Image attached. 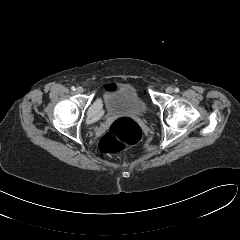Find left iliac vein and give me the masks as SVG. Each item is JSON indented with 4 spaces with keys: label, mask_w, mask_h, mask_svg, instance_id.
<instances>
[{
    "label": "left iliac vein",
    "mask_w": 240,
    "mask_h": 240,
    "mask_svg": "<svg viewBox=\"0 0 240 240\" xmlns=\"http://www.w3.org/2000/svg\"><path fill=\"white\" fill-rule=\"evenodd\" d=\"M173 92H174V90H173L172 87H167V88H166V93L172 94Z\"/></svg>",
    "instance_id": "1"
}]
</instances>
